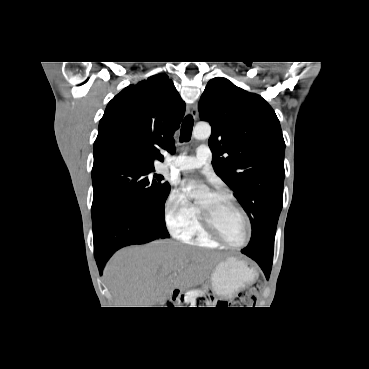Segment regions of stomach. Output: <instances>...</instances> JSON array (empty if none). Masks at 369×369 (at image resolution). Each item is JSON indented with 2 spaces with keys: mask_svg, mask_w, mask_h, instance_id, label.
Wrapping results in <instances>:
<instances>
[{
  "mask_svg": "<svg viewBox=\"0 0 369 369\" xmlns=\"http://www.w3.org/2000/svg\"><path fill=\"white\" fill-rule=\"evenodd\" d=\"M254 276V272L243 261L228 258L215 267L211 277L212 288L217 295L228 298L253 280Z\"/></svg>",
  "mask_w": 369,
  "mask_h": 369,
  "instance_id": "1",
  "label": "stomach"
}]
</instances>
